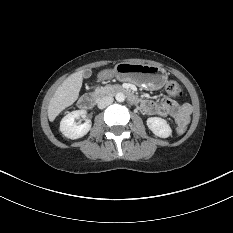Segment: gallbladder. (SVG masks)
<instances>
[{"label":"gallbladder","instance_id":"obj_1","mask_svg":"<svg viewBox=\"0 0 233 233\" xmlns=\"http://www.w3.org/2000/svg\"><path fill=\"white\" fill-rule=\"evenodd\" d=\"M91 74H92V71L90 69H85L83 71V77L84 78H89L91 76Z\"/></svg>","mask_w":233,"mask_h":233}]
</instances>
